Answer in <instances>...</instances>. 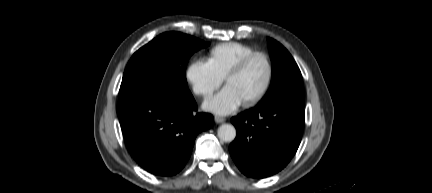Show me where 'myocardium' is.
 I'll return each instance as SVG.
<instances>
[{"label":"myocardium","instance_id":"1","mask_svg":"<svg viewBox=\"0 0 432 193\" xmlns=\"http://www.w3.org/2000/svg\"><path fill=\"white\" fill-rule=\"evenodd\" d=\"M257 57H261L265 60L267 66V77L262 89L252 98L243 101V105L245 107H251L261 102L271 88L274 78V66L270 55L267 52L260 50L248 54L230 69L224 79L227 86L231 79L241 74L248 67V65Z\"/></svg>","mask_w":432,"mask_h":193}]
</instances>
